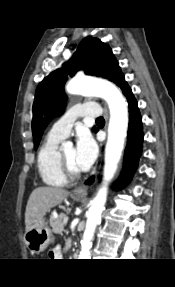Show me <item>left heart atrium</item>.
Masks as SVG:
<instances>
[{
    "mask_svg": "<svg viewBox=\"0 0 175 287\" xmlns=\"http://www.w3.org/2000/svg\"><path fill=\"white\" fill-rule=\"evenodd\" d=\"M98 155V147L93 137L85 130L79 132L75 147L76 162L80 170H87Z\"/></svg>",
    "mask_w": 175,
    "mask_h": 287,
    "instance_id": "left-heart-atrium-1",
    "label": "left heart atrium"
}]
</instances>
